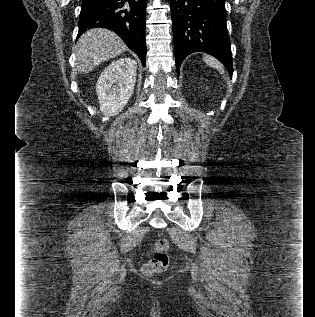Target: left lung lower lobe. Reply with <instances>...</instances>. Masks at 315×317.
Wrapping results in <instances>:
<instances>
[{
	"mask_svg": "<svg viewBox=\"0 0 315 317\" xmlns=\"http://www.w3.org/2000/svg\"><path fill=\"white\" fill-rule=\"evenodd\" d=\"M176 70L186 56L206 52L233 73L225 0H170Z\"/></svg>",
	"mask_w": 315,
	"mask_h": 317,
	"instance_id": "0a47b994",
	"label": "left lung lower lobe"
}]
</instances>
